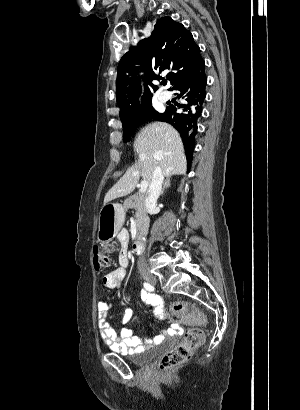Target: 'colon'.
Here are the masks:
<instances>
[{"instance_id":"5ec220e1","label":"colon","mask_w":300,"mask_h":410,"mask_svg":"<svg viewBox=\"0 0 300 410\" xmlns=\"http://www.w3.org/2000/svg\"><path fill=\"white\" fill-rule=\"evenodd\" d=\"M109 249L96 248L93 251V260L96 270L104 271L111 266ZM173 312L180 316L189 327L184 335L182 342L166 352L159 360L158 366L162 371L179 367L187 363L194 350L201 347L204 343L203 331L196 326H204L206 323L205 315L192 303L177 301L172 305Z\"/></svg>"}]
</instances>
